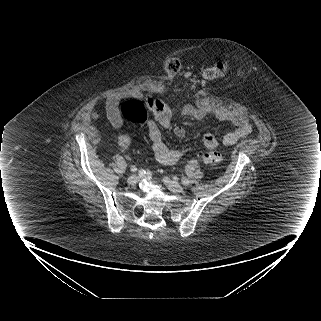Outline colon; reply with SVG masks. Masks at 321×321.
Returning <instances> with one entry per match:
<instances>
[{
    "label": "colon",
    "mask_w": 321,
    "mask_h": 321,
    "mask_svg": "<svg viewBox=\"0 0 321 321\" xmlns=\"http://www.w3.org/2000/svg\"><path fill=\"white\" fill-rule=\"evenodd\" d=\"M230 61L215 63L209 69L204 68L198 75V80L203 85H208L213 79L224 77L231 68ZM163 69L168 76H174L180 69V61L175 56L166 58L163 62ZM121 117L130 123L144 126L148 112L144 104L137 100H130L121 106ZM202 160L209 165H218L223 161V156L217 151H208L202 154Z\"/></svg>",
    "instance_id": "colon-1"
}]
</instances>
